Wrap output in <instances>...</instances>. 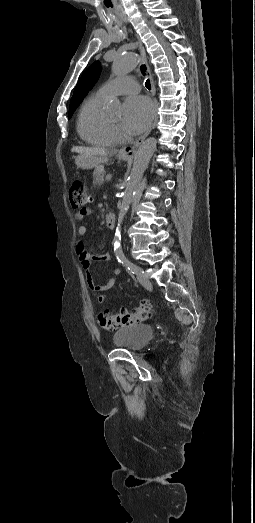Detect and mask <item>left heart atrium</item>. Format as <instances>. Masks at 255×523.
<instances>
[{"label":"left heart atrium","mask_w":255,"mask_h":523,"mask_svg":"<svg viewBox=\"0 0 255 523\" xmlns=\"http://www.w3.org/2000/svg\"><path fill=\"white\" fill-rule=\"evenodd\" d=\"M153 117V106L145 96H132L124 105L123 122L126 129L133 133L142 131Z\"/></svg>","instance_id":"obj_1"}]
</instances>
